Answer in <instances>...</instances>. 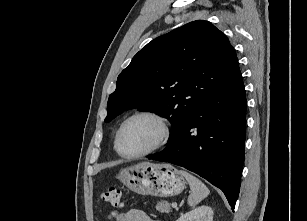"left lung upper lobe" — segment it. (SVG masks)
I'll return each mask as SVG.
<instances>
[{
    "instance_id": "1",
    "label": "left lung upper lobe",
    "mask_w": 307,
    "mask_h": 221,
    "mask_svg": "<svg viewBox=\"0 0 307 221\" xmlns=\"http://www.w3.org/2000/svg\"><path fill=\"white\" fill-rule=\"evenodd\" d=\"M238 65L228 38L208 21L187 23L141 49L109 96V122L124 110L157 113L181 129L191 112L220 88Z\"/></svg>"
}]
</instances>
